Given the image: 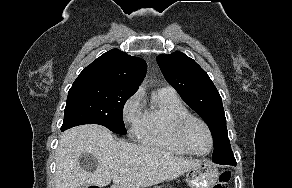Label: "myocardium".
Wrapping results in <instances>:
<instances>
[{"instance_id": "obj_1", "label": "myocardium", "mask_w": 292, "mask_h": 188, "mask_svg": "<svg viewBox=\"0 0 292 188\" xmlns=\"http://www.w3.org/2000/svg\"><path fill=\"white\" fill-rule=\"evenodd\" d=\"M198 122L200 123L206 130L208 137H209V141H210V146L207 152L205 153H198L195 152L194 150H192L190 148V146L187 144L186 140H185V130L187 128V126L191 123V122ZM174 136L176 141L178 142V144L188 153L191 155H195V156H207L211 153L213 146H214V139H213V134L212 131L209 127V125L206 123L205 120H203L202 118L192 115V114H187L184 115L180 118H178L174 124Z\"/></svg>"}]
</instances>
